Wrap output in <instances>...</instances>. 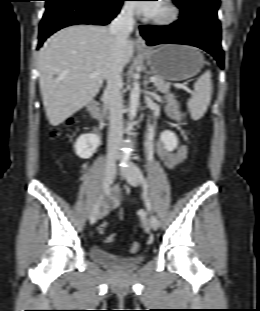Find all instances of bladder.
I'll use <instances>...</instances> for the list:
<instances>
[{
	"label": "bladder",
	"mask_w": 260,
	"mask_h": 311,
	"mask_svg": "<svg viewBox=\"0 0 260 311\" xmlns=\"http://www.w3.org/2000/svg\"><path fill=\"white\" fill-rule=\"evenodd\" d=\"M90 257L94 262L114 269H130L144 261L143 256L121 257L99 246H92L90 248Z\"/></svg>",
	"instance_id": "1"
}]
</instances>
